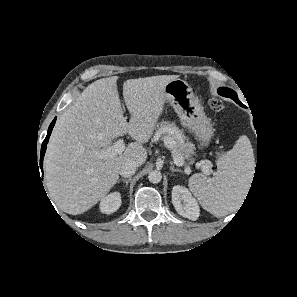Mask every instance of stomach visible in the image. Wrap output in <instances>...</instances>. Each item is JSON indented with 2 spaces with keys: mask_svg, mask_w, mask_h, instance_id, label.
Listing matches in <instances>:
<instances>
[{
  "mask_svg": "<svg viewBox=\"0 0 297 297\" xmlns=\"http://www.w3.org/2000/svg\"><path fill=\"white\" fill-rule=\"evenodd\" d=\"M164 94L165 100L174 108L182 125L195 136L199 146L207 147L213 128L190 85L182 79H174L166 84Z\"/></svg>",
  "mask_w": 297,
  "mask_h": 297,
  "instance_id": "stomach-1",
  "label": "stomach"
}]
</instances>
